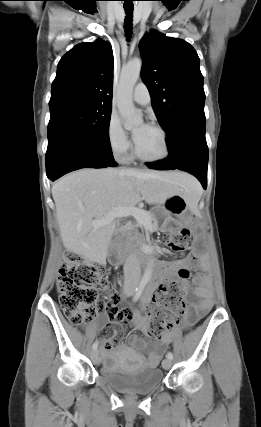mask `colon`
I'll list each match as a JSON object with an SVG mask.
<instances>
[{
    "instance_id": "obj_1",
    "label": "colon",
    "mask_w": 261,
    "mask_h": 427,
    "mask_svg": "<svg viewBox=\"0 0 261 427\" xmlns=\"http://www.w3.org/2000/svg\"><path fill=\"white\" fill-rule=\"evenodd\" d=\"M190 239V231L181 229L166 236L165 241L173 251H183L188 247ZM119 278L120 274H116V279ZM187 278L188 272L180 270L154 296L146 328L151 337H160L184 314ZM107 287L105 269L101 264L89 262L73 252L63 256L56 288L60 306L72 325L85 324L98 312L106 311V302L99 296V292Z\"/></svg>"
}]
</instances>
